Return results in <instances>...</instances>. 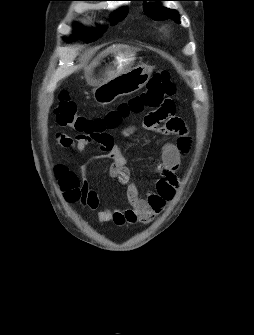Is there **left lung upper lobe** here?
Here are the masks:
<instances>
[{
  "instance_id": "obj_1",
  "label": "left lung upper lobe",
  "mask_w": 254,
  "mask_h": 335,
  "mask_svg": "<svg viewBox=\"0 0 254 335\" xmlns=\"http://www.w3.org/2000/svg\"><path fill=\"white\" fill-rule=\"evenodd\" d=\"M140 1H154L160 2L165 0H140ZM144 12L146 15L150 16L154 20H165V19H173L175 22H179V14L175 10H170L165 7H161L158 3L155 4H146L144 6Z\"/></svg>"
}]
</instances>
